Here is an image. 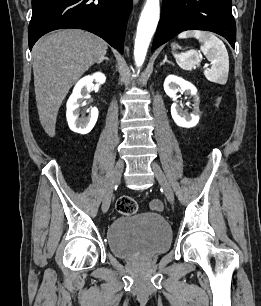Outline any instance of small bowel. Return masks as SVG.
<instances>
[{
  "mask_svg": "<svg viewBox=\"0 0 261 306\" xmlns=\"http://www.w3.org/2000/svg\"><path fill=\"white\" fill-rule=\"evenodd\" d=\"M152 207L155 208V209H159L161 207V204L159 201L155 200L152 202Z\"/></svg>",
  "mask_w": 261,
  "mask_h": 306,
  "instance_id": "c3829d8e",
  "label": "small bowel"
}]
</instances>
